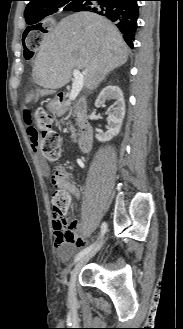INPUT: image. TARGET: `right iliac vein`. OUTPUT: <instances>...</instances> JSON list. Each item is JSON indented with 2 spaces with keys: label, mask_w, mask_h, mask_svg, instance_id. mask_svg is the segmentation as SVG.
Instances as JSON below:
<instances>
[{
  "label": "right iliac vein",
  "mask_w": 183,
  "mask_h": 329,
  "mask_svg": "<svg viewBox=\"0 0 183 329\" xmlns=\"http://www.w3.org/2000/svg\"><path fill=\"white\" fill-rule=\"evenodd\" d=\"M104 244V239H102L93 249H91L87 254H85L75 265L72 270L70 281H69V290L68 298L70 303H73L76 296V281L77 276L82 269V267L102 248Z\"/></svg>",
  "instance_id": "obj_1"
}]
</instances>
